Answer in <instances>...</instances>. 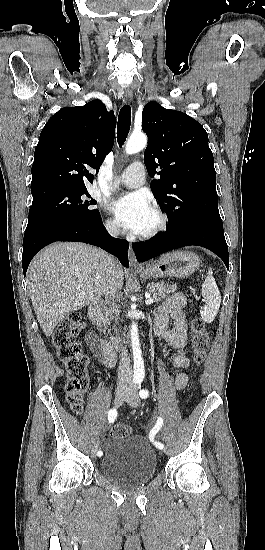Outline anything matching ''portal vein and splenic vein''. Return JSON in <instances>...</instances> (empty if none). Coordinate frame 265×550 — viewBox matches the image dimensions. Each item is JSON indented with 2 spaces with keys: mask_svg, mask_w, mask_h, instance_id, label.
Instances as JSON below:
<instances>
[{
  "mask_svg": "<svg viewBox=\"0 0 265 550\" xmlns=\"http://www.w3.org/2000/svg\"><path fill=\"white\" fill-rule=\"evenodd\" d=\"M84 292H81V294H83ZM154 302V298L153 297H150V296H147V299L145 301V303L147 305H151L152 303Z\"/></svg>",
  "mask_w": 265,
  "mask_h": 550,
  "instance_id": "portal-vein-and-splenic-vein-1",
  "label": "portal vein and splenic vein"
}]
</instances>
